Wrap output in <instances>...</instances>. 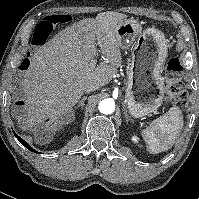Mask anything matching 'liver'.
I'll use <instances>...</instances> for the list:
<instances>
[{
    "mask_svg": "<svg viewBox=\"0 0 199 199\" xmlns=\"http://www.w3.org/2000/svg\"><path fill=\"white\" fill-rule=\"evenodd\" d=\"M126 17L112 11L99 13L73 23L36 50L20 82L25 114L13 111L21 128L37 133L38 140L49 134L51 141L62 125L71 122L73 107L86 87L105 86L112 80L122 64L115 28ZM99 52L105 61L92 67Z\"/></svg>",
    "mask_w": 199,
    "mask_h": 199,
    "instance_id": "6515ba94",
    "label": "liver"
}]
</instances>
